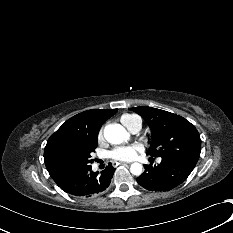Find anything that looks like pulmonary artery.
Instances as JSON below:
<instances>
[{
  "label": "pulmonary artery",
  "instance_id": "pulmonary-artery-1",
  "mask_svg": "<svg viewBox=\"0 0 233 233\" xmlns=\"http://www.w3.org/2000/svg\"><path fill=\"white\" fill-rule=\"evenodd\" d=\"M141 129L140 125H136L132 130H130L132 133H137Z\"/></svg>",
  "mask_w": 233,
  "mask_h": 233
}]
</instances>
